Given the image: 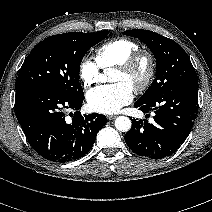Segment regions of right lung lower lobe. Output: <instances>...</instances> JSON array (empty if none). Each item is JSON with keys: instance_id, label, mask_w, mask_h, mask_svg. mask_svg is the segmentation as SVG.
<instances>
[{"instance_id": "right-lung-lower-lobe-1", "label": "right lung lower lobe", "mask_w": 212, "mask_h": 212, "mask_svg": "<svg viewBox=\"0 0 212 212\" xmlns=\"http://www.w3.org/2000/svg\"><path fill=\"white\" fill-rule=\"evenodd\" d=\"M84 95L69 97L44 87L16 90V115L32 148L53 162H69L83 157L92 148L99 130L107 123L102 114H71L67 123L64 111L81 108Z\"/></svg>"}]
</instances>
